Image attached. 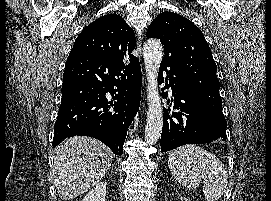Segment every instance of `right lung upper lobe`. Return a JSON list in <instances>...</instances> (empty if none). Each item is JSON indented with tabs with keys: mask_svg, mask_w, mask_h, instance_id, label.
Here are the masks:
<instances>
[{
	"mask_svg": "<svg viewBox=\"0 0 271 201\" xmlns=\"http://www.w3.org/2000/svg\"><path fill=\"white\" fill-rule=\"evenodd\" d=\"M136 45L134 31L116 14L104 15L88 25L76 38L70 54H92L131 63Z\"/></svg>",
	"mask_w": 271,
	"mask_h": 201,
	"instance_id": "cb5924a9",
	"label": "right lung upper lobe"
}]
</instances>
